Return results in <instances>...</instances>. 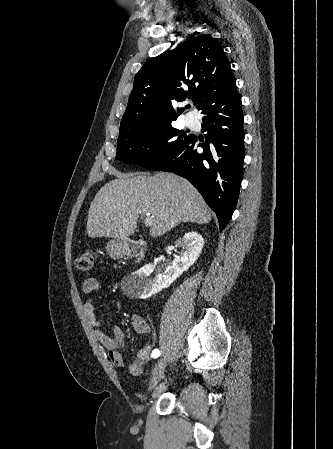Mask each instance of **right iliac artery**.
<instances>
[{
	"label": "right iliac artery",
	"instance_id": "right-iliac-artery-1",
	"mask_svg": "<svg viewBox=\"0 0 333 449\" xmlns=\"http://www.w3.org/2000/svg\"><path fill=\"white\" fill-rule=\"evenodd\" d=\"M160 356V351L158 349H154V351L151 354L152 358H157Z\"/></svg>",
	"mask_w": 333,
	"mask_h": 449
}]
</instances>
